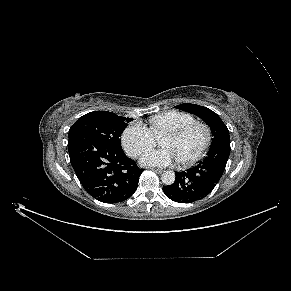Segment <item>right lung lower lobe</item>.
Masks as SVG:
<instances>
[{
    "mask_svg": "<svg viewBox=\"0 0 291 291\" xmlns=\"http://www.w3.org/2000/svg\"><path fill=\"white\" fill-rule=\"evenodd\" d=\"M68 151L80 183L95 199L117 203L136 191L144 169L138 168L123 150L92 136L76 134L69 138Z\"/></svg>",
    "mask_w": 291,
    "mask_h": 291,
    "instance_id": "right-lung-lower-lobe-1",
    "label": "right lung lower lobe"
}]
</instances>
